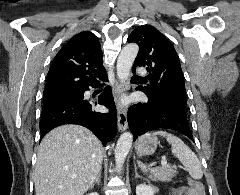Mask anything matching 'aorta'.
Segmentation results:
<instances>
[{"mask_svg":"<svg viewBox=\"0 0 240 195\" xmlns=\"http://www.w3.org/2000/svg\"><path fill=\"white\" fill-rule=\"evenodd\" d=\"M139 52V46L137 44H127L123 50H121L117 60V76L120 82H126L130 76L132 64ZM133 135L130 131H125L120 135L116 149H115V163L118 169L123 167V163L130 151L132 145Z\"/></svg>","mask_w":240,"mask_h":195,"instance_id":"762f6f07","label":"aorta"}]
</instances>
